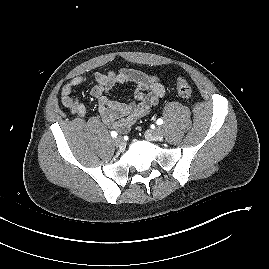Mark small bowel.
Listing matches in <instances>:
<instances>
[{"label":"small bowel","mask_w":269,"mask_h":269,"mask_svg":"<svg viewBox=\"0 0 269 269\" xmlns=\"http://www.w3.org/2000/svg\"><path fill=\"white\" fill-rule=\"evenodd\" d=\"M93 79L96 84L90 94L98 100V111L103 122L121 133H127L165 95V87L158 76L136 69L121 68L106 74L95 73ZM87 80L85 76H77L62 87L61 102L72 115L83 117L86 114L85 104L73 97L72 91ZM122 84L136 87L132 99L118 101L111 98L113 88Z\"/></svg>","instance_id":"obj_1"}]
</instances>
